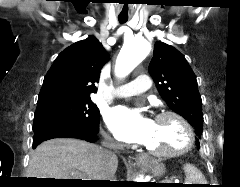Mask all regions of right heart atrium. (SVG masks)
I'll use <instances>...</instances> for the list:
<instances>
[{
  "instance_id": "obj_1",
  "label": "right heart atrium",
  "mask_w": 240,
  "mask_h": 187,
  "mask_svg": "<svg viewBox=\"0 0 240 187\" xmlns=\"http://www.w3.org/2000/svg\"><path fill=\"white\" fill-rule=\"evenodd\" d=\"M104 137H105V140H106L107 143L113 144V145L117 144V142L115 141V139L111 135L105 134Z\"/></svg>"
}]
</instances>
